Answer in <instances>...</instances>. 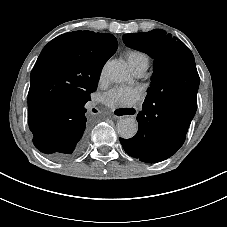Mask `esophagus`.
Returning <instances> with one entry per match:
<instances>
[{"label": "esophagus", "instance_id": "obj_1", "mask_svg": "<svg viewBox=\"0 0 227 227\" xmlns=\"http://www.w3.org/2000/svg\"><path fill=\"white\" fill-rule=\"evenodd\" d=\"M136 113V110L133 107L129 108H117L114 111V114L117 117H131Z\"/></svg>", "mask_w": 227, "mask_h": 227}]
</instances>
